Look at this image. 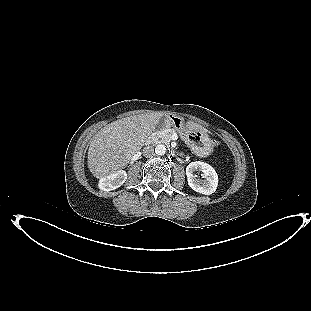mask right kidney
Masks as SVG:
<instances>
[{"mask_svg":"<svg viewBox=\"0 0 311 311\" xmlns=\"http://www.w3.org/2000/svg\"><path fill=\"white\" fill-rule=\"evenodd\" d=\"M127 179V173L123 170L117 171L105 178L100 179L99 188L103 191H110L119 188Z\"/></svg>","mask_w":311,"mask_h":311,"instance_id":"obj_1","label":"right kidney"}]
</instances>
